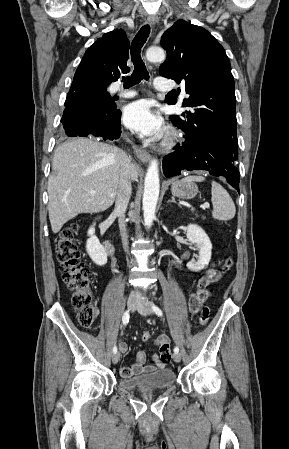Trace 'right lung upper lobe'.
<instances>
[{
	"label": "right lung upper lobe",
	"mask_w": 289,
	"mask_h": 449,
	"mask_svg": "<svg viewBox=\"0 0 289 449\" xmlns=\"http://www.w3.org/2000/svg\"><path fill=\"white\" fill-rule=\"evenodd\" d=\"M128 56L129 41L125 33L121 29L105 33L85 52L74 81L92 84L96 91L107 88L120 73L130 71L126 65Z\"/></svg>",
	"instance_id": "cb5924a9"
}]
</instances>
